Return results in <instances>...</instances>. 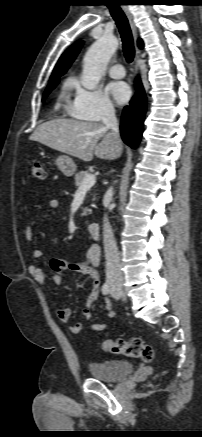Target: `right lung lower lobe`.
<instances>
[{"label": "right lung lower lobe", "instance_id": "right-lung-lower-lobe-1", "mask_svg": "<svg viewBox=\"0 0 202 437\" xmlns=\"http://www.w3.org/2000/svg\"><path fill=\"white\" fill-rule=\"evenodd\" d=\"M137 92L129 106L123 109L120 131L124 142L135 148L143 133V122L146 113L147 99L139 79L136 80Z\"/></svg>", "mask_w": 202, "mask_h": 437}]
</instances>
